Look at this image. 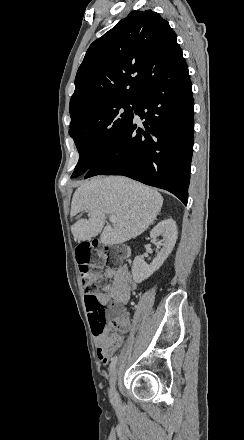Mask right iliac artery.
<instances>
[{"instance_id": "1", "label": "right iliac artery", "mask_w": 244, "mask_h": 440, "mask_svg": "<svg viewBox=\"0 0 244 440\" xmlns=\"http://www.w3.org/2000/svg\"><path fill=\"white\" fill-rule=\"evenodd\" d=\"M116 363H117V356H114V357L111 358V363H110V366H109V372L110 373L115 368ZM111 403H113V399H111Z\"/></svg>"}]
</instances>
